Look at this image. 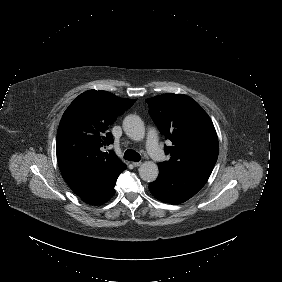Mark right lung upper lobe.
Here are the masks:
<instances>
[{
  "instance_id": "1",
  "label": "right lung upper lobe",
  "mask_w": 282,
  "mask_h": 282,
  "mask_svg": "<svg viewBox=\"0 0 282 282\" xmlns=\"http://www.w3.org/2000/svg\"><path fill=\"white\" fill-rule=\"evenodd\" d=\"M135 101L88 90L64 112L57 131V160L63 178L79 197L100 180L126 169L113 151L104 155L101 150L113 143L110 125Z\"/></svg>"
}]
</instances>
